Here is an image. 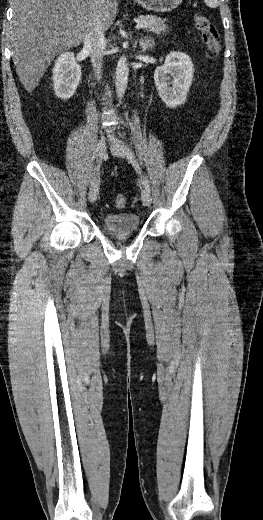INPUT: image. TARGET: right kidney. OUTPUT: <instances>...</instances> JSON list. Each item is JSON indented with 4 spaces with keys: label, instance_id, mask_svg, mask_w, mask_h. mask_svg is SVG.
Segmentation results:
<instances>
[{
    "label": "right kidney",
    "instance_id": "right-kidney-1",
    "mask_svg": "<svg viewBox=\"0 0 263 520\" xmlns=\"http://www.w3.org/2000/svg\"><path fill=\"white\" fill-rule=\"evenodd\" d=\"M52 79L58 98L67 100L74 95L81 79V67L76 62L74 53L66 52L57 58Z\"/></svg>",
    "mask_w": 263,
    "mask_h": 520
}]
</instances>
